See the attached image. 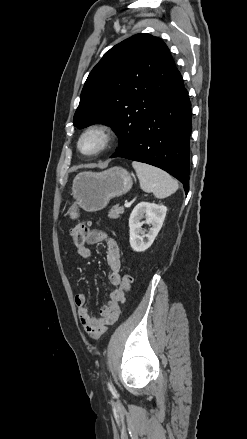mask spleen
Wrapping results in <instances>:
<instances>
[{"label":"spleen","mask_w":247,"mask_h":439,"mask_svg":"<svg viewBox=\"0 0 247 439\" xmlns=\"http://www.w3.org/2000/svg\"><path fill=\"white\" fill-rule=\"evenodd\" d=\"M132 167L136 171L141 189L152 192L156 198H166L178 190L177 181L162 169L137 161L132 162Z\"/></svg>","instance_id":"3e777b00"}]
</instances>
